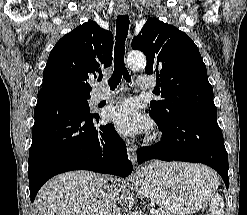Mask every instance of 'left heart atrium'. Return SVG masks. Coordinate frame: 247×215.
Wrapping results in <instances>:
<instances>
[{
  "label": "left heart atrium",
  "mask_w": 247,
  "mask_h": 215,
  "mask_svg": "<svg viewBox=\"0 0 247 215\" xmlns=\"http://www.w3.org/2000/svg\"><path fill=\"white\" fill-rule=\"evenodd\" d=\"M106 116L118 132L126 136L148 132L152 127L150 120L139 112L136 103L130 99L109 107Z\"/></svg>",
  "instance_id": "1"
}]
</instances>
